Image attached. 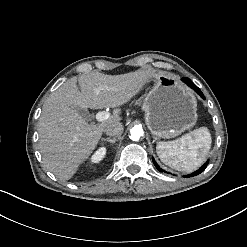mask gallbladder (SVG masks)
<instances>
[{"label":"gallbladder","instance_id":"obj_1","mask_svg":"<svg viewBox=\"0 0 247 247\" xmlns=\"http://www.w3.org/2000/svg\"><path fill=\"white\" fill-rule=\"evenodd\" d=\"M74 109H75L76 112H77L80 116H82L84 119L90 120V115H89V113H88V111H87L86 109L81 108V107H78V106L75 107Z\"/></svg>","mask_w":247,"mask_h":247}]
</instances>
